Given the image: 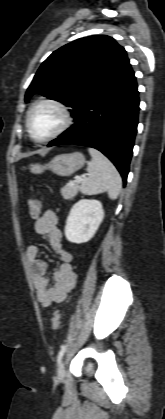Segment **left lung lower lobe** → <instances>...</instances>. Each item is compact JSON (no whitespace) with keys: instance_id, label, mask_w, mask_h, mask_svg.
<instances>
[{"instance_id":"1","label":"left lung lower lobe","mask_w":165,"mask_h":419,"mask_svg":"<svg viewBox=\"0 0 165 419\" xmlns=\"http://www.w3.org/2000/svg\"><path fill=\"white\" fill-rule=\"evenodd\" d=\"M139 98L130 63L73 117L75 124L47 146L77 144L101 151L117 167L124 185L137 132Z\"/></svg>"}]
</instances>
